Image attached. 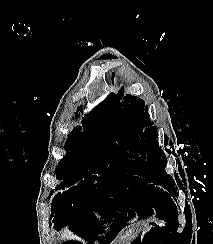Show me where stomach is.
Returning a JSON list of instances; mask_svg holds the SVG:
<instances>
[{
  "label": "stomach",
  "instance_id": "stomach-1",
  "mask_svg": "<svg viewBox=\"0 0 213 244\" xmlns=\"http://www.w3.org/2000/svg\"><path fill=\"white\" fill-rule=\"evenodd\" d=\"M145 226H146V223L144 221L139 222L135 225H132L128 229H126L125 236H132L135 232L143 230L145 228ZM112 243L113 244H127V239H113Z\"/></svg>",
  "mask_w": 213,
  "mask_h": 244
}]
</instances>
